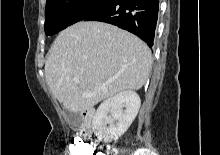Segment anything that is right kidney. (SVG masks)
I'll list each match as a JSON object with an SVG mask.
<instances>
[{"label": "right kidney", "instance_id": "obj_1", "mask_svg": "<svg viewBox=\"0 0 220 155\" xmlns=\"http://www.w3.org/2000/svg\"><path fill=\"white\" fill-rule=\"evenodd\" d=\"M140 104V97L134 91H123L104 101L93 118L94 134L107 143L118 139L134 121Z\"/></svg>", "mask_w": 220, "mask_h": 155}]
</instances>
